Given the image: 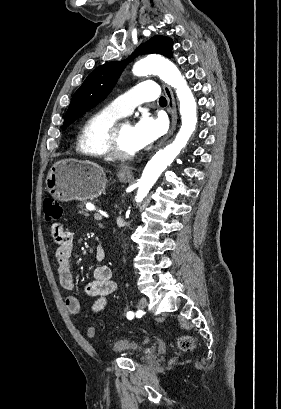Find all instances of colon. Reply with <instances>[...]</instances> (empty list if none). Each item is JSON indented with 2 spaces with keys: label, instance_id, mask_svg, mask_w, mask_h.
I'll return each instance as SVG.
<instances>
[{
  "label": "colon",
  "instance_id": "obj_1",
  "mask_svg": "<svg viewBox=\"0 0 281 409\" xmlns=\"http://www.w3.org/2000/svg\"><path fill=\"white\" fill-rule=\"evenodd\" d=\"M43 214L46 223L59 220L62 216V206L54 198H45L43 201ZM95 330L93 327L88 329V335L93 337ZM193 340L190 336L182 335L177 339V347L182 351H189L193 348Z\"/></svg>",
  "mask_w": 281,
  "mask_h": 409
}]
</instances>
